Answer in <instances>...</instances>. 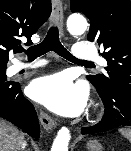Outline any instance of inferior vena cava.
<instances>
[{
    "label": "inferior vena cava",
    "mask_w": 131,
    "mask_h": 151,
    "mask_svg": "<svg viewBox=\"0 0 131 151\" xmlns=\"http://www.w3.org/2000/svg\"><path fill=\"white\" fill-rule=\"evenodd\" d=\"M25 146H26V143H25V141H23L21 147L25 148Z\"/></svg>",
    "instance_id": "1"
}]
</instances>
